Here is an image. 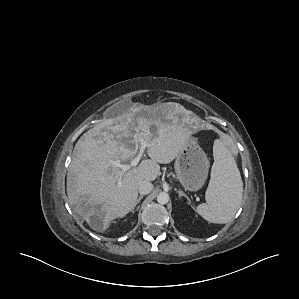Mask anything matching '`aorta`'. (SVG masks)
<instances>
[{"instance_id": "aorta-1", "label": "aorta", "mask_w": 299, "mask_h": 299, "mask_svg": "<svg viewBox=\"0 0 299 299\" xmlns=\"http://www.w3.org/2000/svg\"><path fill=\"white\" fill-rule=\"evenodd\" d=\"M157 202L159 204H167L169 202V195L166 192H161L159 193V195L157 196Z\"/></svg>"}]
</instances>
